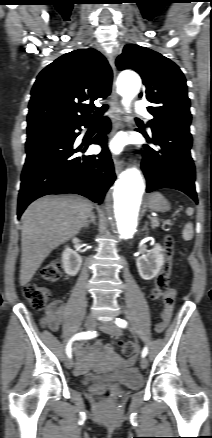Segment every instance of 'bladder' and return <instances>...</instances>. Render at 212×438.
Segmentation results:
<instances>
[{
	"mask_svg": "<svg viewBox=\"0 0 212 438\" xmlns=\"http://www.w3.org/2000/svg\"><path fill=\"white\" fill-rule=\"evenodd\" d=\"M81 380L85 384L97 381H110L122 384L131 389L138 388L142 384L140 377L131 369H123L110 375L92 373L82 377Z\"/></svg>",
	"mask_w": 212,
	"mask_h": 438,
	"instance_id": "obj_1",
	"label": "bladder"
}]
</instances>
